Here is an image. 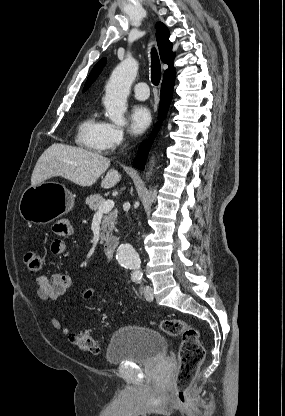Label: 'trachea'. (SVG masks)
<instances>
[{"label":"trachea","mask_w":285,"mask_h":416,"mask_svg":"<svg viewBox=\"0 0 285 416\" xmlns=\"http://www.w3.org/2000/svg\"><path fill=\"white\" fill-rule=\"evenodd\" d=\"M151 59V80L157 86L161 80V65L155 48L151 51Z\"/></svg>","instance_id":"3493384b"}]
</instances>
